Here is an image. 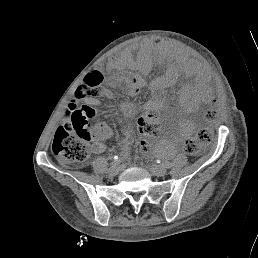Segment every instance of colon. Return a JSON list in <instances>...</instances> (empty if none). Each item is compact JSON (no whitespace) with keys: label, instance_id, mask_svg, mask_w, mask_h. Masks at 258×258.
Wrapping results in <instances>:
<instances>
[{"label":"colon","instance_id":"colon-1","mask_svg":"<svg viewBox=\"0 0 258 258\" xmlns=\"http://www.w3.org/2000/svg\"><path fill=\"white\" fill-rule=\"evenodd\" d=\"M99 81V73H89L85 77L86 86L77 91L78 98L88 92L89 86L97 84ZM69 107L70 114L65 124L56 131L52 143L53 154L64 166L85 161L91 150L89 143L98 134L97 127H91L88 124L87 118L90 115L84 108H78L75 103H71ZM210 139L209 130L201 128L194 136L185 141L184 149L188 154H197L210 142Z\"/></svg>","mask_w":258,"mask_h":258}]
</instances>
